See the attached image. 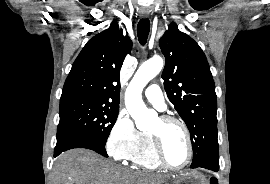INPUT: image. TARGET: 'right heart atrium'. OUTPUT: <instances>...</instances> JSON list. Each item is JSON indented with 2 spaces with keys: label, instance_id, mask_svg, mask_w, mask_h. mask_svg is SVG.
Wrapping results in <instances>:
<instances>
[{
  "label": "right heart atrium",
  "instance_id": "d8ad5b80",
  "mask_svg": "<svg viewBox=\"0 0 270 184\" xmlns=\"http://www.w3.org/2000/svg\"><path fill=\"white\" fill-rule=\"evenodd\" d=\"M142 140L143 133L136 128L133 120L125 113H120L109 131L106 150L117 161H130Z\"/></svg>",
  "mask_w": 270,
  "mask_h": 184
}]
</instances>
